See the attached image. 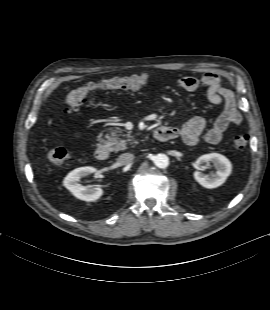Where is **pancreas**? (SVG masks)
<instances>
[{"label": "pancreas", "mask_w": 270, "mask_h": 310, "mask_svg": "<svg viewBox=\"0 0 270 310\" xmlns=\"http://www.w3.org/2000/svg\"><path fill=\"white\" fill-rule=\"evenodd\" d=\"M106 146L110 151H122L127 149L128 144H133V136L131 132L124 131L120 128L111 129L110 135L106 136Z\"/></svg>", "instance_id": "1"}]
</instances>
